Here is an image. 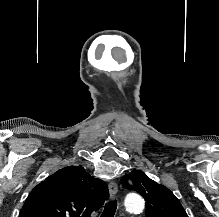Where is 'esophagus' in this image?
Segmentation results:
<instances>
[{
    "mask_svg": "<svg viewBox=\"0 0 219 217\" xmlns=\"http://www.w3.org/2000/svg\"><path fill=\"white\" fill-rule=\"evenodd\" d=\"M108 188H109V194L111 198H114L117 191H118V185L115 181H110L108 184Z\"/></svg>",
    "mask_w": 219,
    "mask_h": 217,
    "instance_id": "obj_1",
    "label": "esophagus"
}]
</instances>
